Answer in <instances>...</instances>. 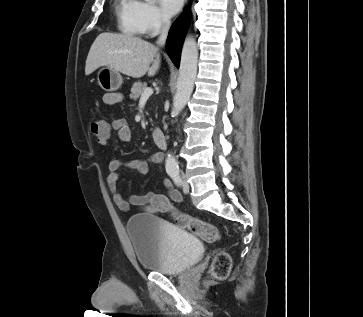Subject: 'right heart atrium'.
<instances>
[{
    "instance_id": "1",
    "label": "right heart atrium",
    "mask_w": 363,
    "mask_h": 317,
    "mask_svg": "<svg viewBox=\"0 0 363 317\" xmlns=\"http://www.w3.org/2000/svg\"><path fill=\"white\" fill-rule=\"evenodd\" d=\"M138 17L142 34L152 36L162 31L169 23L158 6L149 2H138Z\"/></svg>"
}]
</instances>
